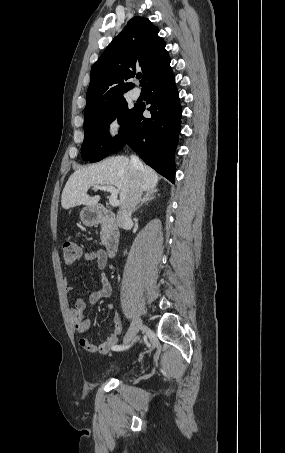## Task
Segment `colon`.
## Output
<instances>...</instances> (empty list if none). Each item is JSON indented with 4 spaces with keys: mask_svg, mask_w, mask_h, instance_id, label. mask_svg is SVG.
I'll return each mask as SVG.
<instances>
[{
    "mask_svg": "<svg viewBox=\"0 0 285 453\" xmlns=\"http://www.w3.org/2000/svg\"><path fill=\"white\" fill-rule=\"evenodd\" d=\"M63 255L67 262H74L82 256V248L76 241L67 240L63 244Z\"/></svg>",
    "mask_w": 285,
    "mask_h": 453,
    "instance_id": "obj_1",
    "label": "colon"
}]
</instances>
